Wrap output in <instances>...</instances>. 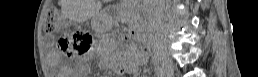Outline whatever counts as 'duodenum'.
Listing matches in <instances>:
<instances>
[{
    "mask_svg": "<svg viewBox=\"0 0 258 77\" xmlns=\"http://www.w3.org/2000/svg\"><path fill=\"white\" fill-rule=\"evenodd\" d=\"M143 43L145 44V46H146V45H148V46H149V48H150L151 50H153L151 40H146V39H144Z\"/></svg>",
    "mask_w": 258,
    "mask_h": 77,
    "instance_id": "1",
    "label": "duodenum"
}]
</instances>
